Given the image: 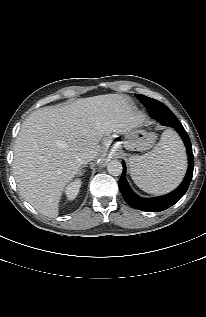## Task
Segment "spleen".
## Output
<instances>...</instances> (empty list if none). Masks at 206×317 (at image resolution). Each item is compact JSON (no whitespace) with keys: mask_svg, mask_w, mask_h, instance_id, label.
<instances>
[{"mask_svg":"<svg viewBox=\"0 0 206 317\" xmlns=\"http://www.w3.org/2000/svg\"><path fill=\"white\" fill-rule=\"evenodd\" d=\"M134 183L147 193L164 194L176 188L186 170V154L179 136L167 130L152 151L129 162Z\"/></svg>","mask_w":206,"mask_h":317,"instance_id":"1","label":"spleen"}]
</instances>
